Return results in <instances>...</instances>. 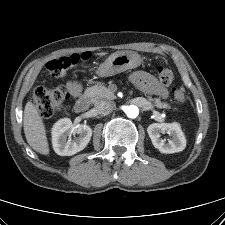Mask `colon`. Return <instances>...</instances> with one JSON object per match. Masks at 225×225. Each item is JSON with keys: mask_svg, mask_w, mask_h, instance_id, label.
<instances>
[{"mask_svg": "<svg viewBox=\"0 0 225 225\" xmlns=\"http://www.w3.org/2000/svg\"><path fill=\"white\" fill-rule=\"evenodd\" d=\"M90 57L89 53L63 56L49 61L46 64V68L52 76L59 77L86 63ZM157 74L159 79L165 84H169L173 81L174 75L172 71L166 67H158ZM67 94L65 87L50 89L45 86H39L34 90L32 102L39 114L42 117L48 118L55 114L60 105L66 100ZM172 94L175 101L180 104L186 103L188 100V94L181 86L174 87L172 89Z\"/></svg>", "mask_w": 225, "mask_h": 225, "instance_id": "5ec220e1", "label": "colon"}]
</instances>
